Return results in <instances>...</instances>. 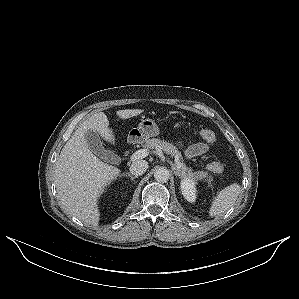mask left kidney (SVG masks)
Segmentation results:
<instances>
[{
  "mask_svg": "<svg viewBox=\"0 0 299 299\" xmlns=\"http://www.w3.org/2000/svg\"><path fill=\"white\" fill-rule=\"evenodd\" d=\"M180 188L184 198L193 203L196 200V182L190 178H183L180 182Z\"/></svg>",
  "mask_w": 299,
  "mask_h": 299,
  "instance_id": "1",
  "label": "left kidney"
}]
</instances>
